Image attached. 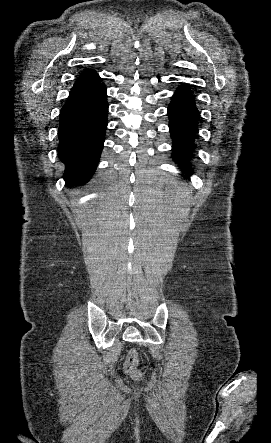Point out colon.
<instances>
[{"instance_id":"1","label":"colon","mask_w":271,"mask_h":443,"mask_svg":"<svg viewBox=\"0 0 271 443\" xmlns=\"http://www.w3.org/2000/svg\"><path fill=\"white\" fill-rule=\"evenodd\" d=\"M125 373L135 380L142 378L143 374L139 369V354L136 350H131L124 363Z\"/></svg>"}]
</instances>
